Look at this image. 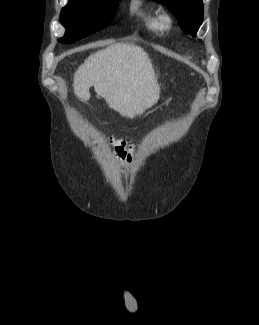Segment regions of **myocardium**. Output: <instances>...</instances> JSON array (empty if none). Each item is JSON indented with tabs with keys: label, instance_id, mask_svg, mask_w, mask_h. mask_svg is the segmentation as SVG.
<instances>
[{
	"label": "myocardium",
	"instance_id": "obj_1",
	"mask_svg": "<svg viewBox=\"0 0 259 325\" xmlns=\"http://www.w3.org/2000/svg\"><path fill=\"white\" fill-rule=\"evenodd\" d=\"M159 21L163 29H169L174 23V15L169 9L161 10L159 13Z\"/></svg>",
	"mask_w": 259,
	"mask_h": 325
}]
</instances>
